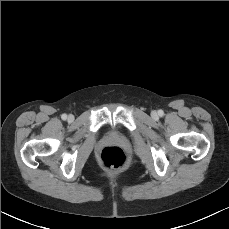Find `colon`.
Listing matches in <instances>:
<instances>
[{"label": "colon", "instance_id": "5ec220e1", "mask_svg": "<svg viewBox=\"0 0 229 229\" xmlns=\"http://www.w3.org/2000/svg\"><path fill=\"white\" fill-rule=\"evenodd\" d=\"M100 163L105 170H118L126 164V156L119 147H105L101 152Z\"/></svg>", "mask_w": 229, "mask_h": 229}]
</instances>
